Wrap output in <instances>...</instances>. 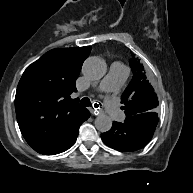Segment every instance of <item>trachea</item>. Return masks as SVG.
Masks as SVG:
<instances>
[{"mask_svg":"<svg viewBox=\"0 0 193 193\" xmlns=\"http://www.w3.org/2000/svg\"><path fill=\"white\" fill-rule=\"evenodd\" d=\"M80 104H81L82 106H87V107L91 106V102H90V99H89L88 97L82 98V99L80 100ZM94 107H95V108H98L99 105H98V104H94Z\"/></svg>","mask_w":193,"mask_h":193,"instance_id":"trachea-1","label":"trachea"}]
</instances>
